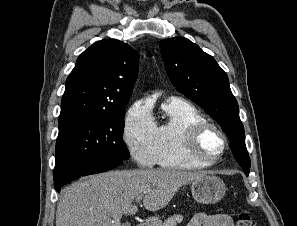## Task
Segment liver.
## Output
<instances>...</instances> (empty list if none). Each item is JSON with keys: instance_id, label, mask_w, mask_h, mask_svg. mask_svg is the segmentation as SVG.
Returning a JSON list of instances; mask_svg holds the SVG:
<instances>
[{"instance_id": "obj_1", "label": "liver", "mask_w": 297, "mask_h": 226, "mask_svg": "<svg viewBox=\"0 0 297 226\" xmlns=\"http://www.w3.org/2000/svg\"><path fill=\"white\" fill-rule=\"evenodd\" d=\"M206 176L204 172L165 169L110 171L66 187L56 211V226H121L123 214L138 211L132 202L143 198L146 210L165 207L178 189Z\"/></svg>"}]
</instances>
